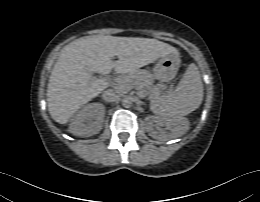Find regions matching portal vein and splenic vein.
Segmentation results:
<instances>
[{
  "label": "portal vein and splenic vein",
  "mask_w": 260,
  "mask_h": 202,
  "mask_svg": "<svg viewBox=\"0 0 260 202\" xmlns=\"http://www.w3.org/2000/svg\"><path fill=\"white\" fill-rule=\"evenodd\" d=\"M109 80H111V78H109ZM115 80H116V79H115ZM140 95H141L142 97H145V95H143V94H141V93H140Z\"/></svg>",
  "instance_id": "portal-vein-and-splenic-vein-1"
}]
</instances>
